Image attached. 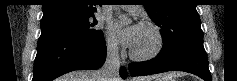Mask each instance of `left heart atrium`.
<instances>
[{"mask_svg": "<svg viewBox=\"0 0 237 81\" xmlns=\"http://www.w3.org/2000/svg\"><path fill=\"white\" fill-rule=\"evenodd\" d=\"M114 30L126 46L130 48L134 46L139 30V25L134 23L125 29H121L119 24H115Z\"/></svg>", "mask_w": 237, "mask_h": 81, "instance_id": "1", "label": "left heart atrium"}]
</instances>
